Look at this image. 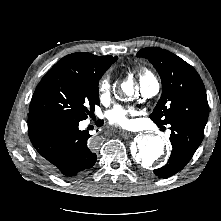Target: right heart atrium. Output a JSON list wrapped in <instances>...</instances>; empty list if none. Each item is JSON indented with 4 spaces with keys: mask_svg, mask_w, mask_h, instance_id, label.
Wrapping results in <instances>:
<instances>
[{
    "mask_svg": "<svg viewBox=\"0 0 221 221\" xmlns=\"http://www.w3.org/2000/svg\"><path fill=\"white\" fill-rule=\"evenodd\" d=\"M100 92H101V97H107L109 92H110V82H109V75H105L101 82H100Z\"/></svg>",
    "mask_w": 221,
    "mask_h": 221,
    "instance_id": "obj_1",
    "label": "right heart atrium"
}]
</instances>
